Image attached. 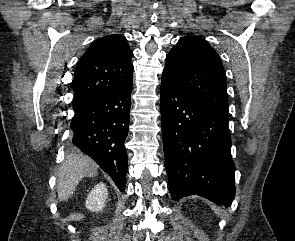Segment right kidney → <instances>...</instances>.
<instances>
[{
  "mask_svg": "<svg viewBox=\"0 0 295 241\" xmlns=\"http://www.w3.org/2000/svg\"><path fill=\"white\" fill-rule=\"evenodd\" d=\"M108 196L107 187L104 183H99L94 186L86 199V208L93 212H99L105 206Z\"/></svg>",
  "mask_w": 295,
  "mask_h": 241,
  "instance_id": "right-kidney-1",
  "label": "right kidney"
}]
</instances>
